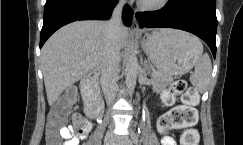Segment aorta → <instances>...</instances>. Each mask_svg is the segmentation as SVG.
<instances>
[{
	"instance_id": "obj_1",
	"label": "aorta",
	"mask_w": 243,
	"mask_h": 145,
	"mask_svg": "<svg viewBox=\"0 0 243 145\" xmlns=\"http://www.w3.org/2000/svg\"><path fill=\"white\" fill-rule=\"evenodd\" d=\"M138 66L137 57L131 54L127 59L125 67V82L130 95L133 93L136 86Z\"/></svg>"
}]
</instances>
